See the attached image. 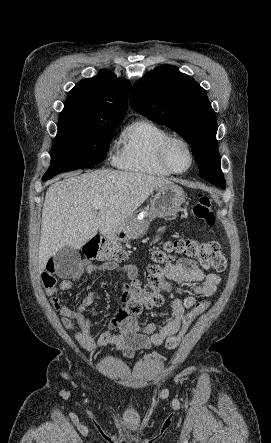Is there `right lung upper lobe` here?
Here are the masks:
<instances>
[{
	"label": "right lung upper lobe",
	"mask_w": 271,
	"mask_h": 443,
	"mask_svg": "<svg viewBox=\"0 0 271 443\" xmlns=\"http://www.w3.org/2000/svg\"><path fill=\"white\" fill-rule=\"evenodd\" d=\"M130 86L127 80L102 70L76 84L68 93L63 111L87 118L123 117Z\"/></svg>",
	"instance_id": "right-lung-upper-lobe-1"
}]
</instances>
